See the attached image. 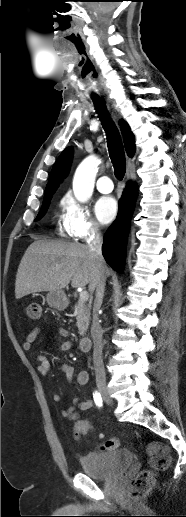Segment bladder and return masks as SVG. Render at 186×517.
I'll return each mask as SVG.
<instances>
[{
	"label": "bladder",
	"instance_id": "bladder-1",
	"mask_svg": "<svg viewBox=\"0 0 186 517\" xmlns=\"http://www.w3.org/2000/svg\"><path fill=\"white\" fill-rule=\"evenodd\" d=\"M132 453L120 448L109 453L90 452L80 457L83 472L94 479H111L120 476L132 463Z\"/></svg>",
	"mask_w": 186,
	"mask_h": 517
}]
</instances>
